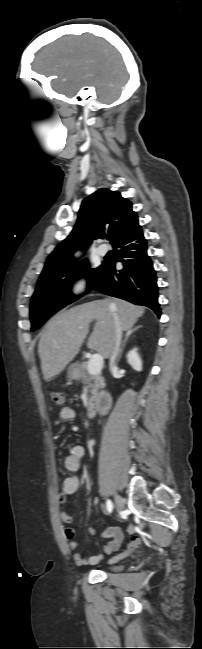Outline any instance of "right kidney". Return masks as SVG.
<instances>
[{"label":"right kidney","mask_w":202,"mask_h":649,"mask_svg":"<svg viewBox=\"0 0 202 649\" xmlns=\"http://www.w3.org/2000/svg\"><path fill=\"white\" fill-rule=\"evenodd\" d=\"M127 362L136 371H141L142 370V361L140 359L139 354L137 353L136 348H133L132 350H130L128 352V354H127Z\"/></svg>","instance_id":"ca27d5eb"}]
</instances>
